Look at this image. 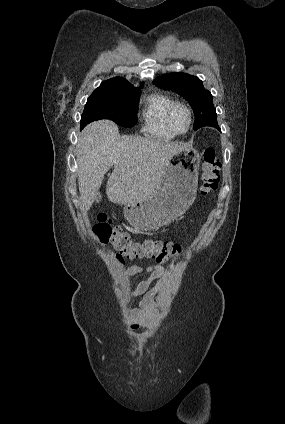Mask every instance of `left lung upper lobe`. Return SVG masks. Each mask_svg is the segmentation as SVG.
<instances>
[{
	"label": "left lung upper lobe",
	"mask_w": 285,
	"mask_h": 424,
	"mask_svg": "<svg viewBox=\"0 0 285 424\" xmlns=\"http://www.w3.org/2000/svg\"><path fill=\"white\" fill-rule=\"evenodd\" d=\"M154 83L176 92L189 102L195 114L194 130L203 126L219 129L212 95L198 77L180 72L170 73L158 77Z\"/></svg>",
	"instance_id": "1"
}]
</instances>
